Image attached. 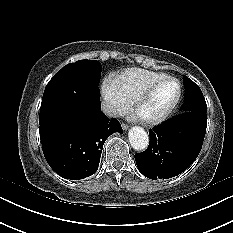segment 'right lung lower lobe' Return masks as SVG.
<instances>
[{
    "label": "right lung lower lobe",
    "mask_w": 233,
    "mask_h": 233,
    "mask_svg": "<svg viewBox=\"0 0 233 233\" xmlns=\"http://www.w3.org/2000/svg\"><path fill=\"white\" fill-rule=\"evenodd\" d=\"M122 133L120 123L101 111L100 99L83 96L73 120H55L40 126L42 149L50 167L66 179L93 175L105 140Z\"/></svg>",
    "instance_id": "98d812e1"
}]
</instances>
